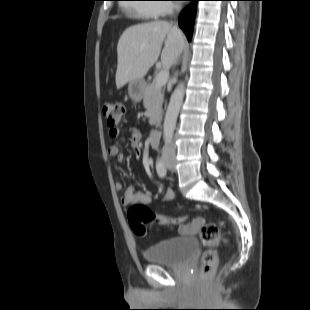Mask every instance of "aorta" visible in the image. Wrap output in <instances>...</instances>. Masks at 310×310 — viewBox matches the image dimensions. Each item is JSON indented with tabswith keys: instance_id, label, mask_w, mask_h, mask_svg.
I'll use <instances>...</instances> for the list:
<instances>
[{
	"instance_id": "obj_1",
	"label": "aorta",
	"mask_w": 310,
	"mask_h": 310,
	"mask_svg": "<svg viewBox=\"0 0 310 310\" xmlns=\"http://www.w3.org/2000/svg\"><path fill=\"white\" fill-rule=\"evenodd\" d=\"M184 86L180 83L171 95L163 124L165 144H170L173 138L177 117L183 102Z\"/></svg>"
}]
</instances>
